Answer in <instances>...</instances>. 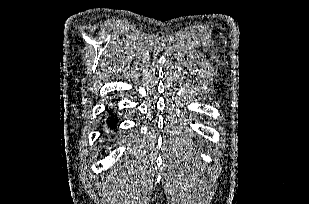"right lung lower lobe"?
I'll return each instance as SVG.
<instances>
[{"label":"right lung lower lobe","instance_id":"1","mask_svg":"<svg viewBox=\"0 0 309 204\" xmlns=\"http://www.w3.org/2000/svg\"><path fill=\"white\" fill-rule=\"evenodd\" d=\"M117 122H118L117 116L115 114H113V110L109 111V116L106 120L107 126L110 127L111 129L115 130Z\"/></svg>","mask_w":309,"mask_h":204}]
</instances>
